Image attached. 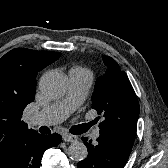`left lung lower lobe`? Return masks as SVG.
Segmentation results:
<instances>
[{
	"instance_id": "left-lung-lower-lobe-1",
	"label": "left lung lower lobe",
	"mask_w": 168,
	"mask_h": 168,
	"mask_svg": "<svg viewBox=\"0 0 168 168\" xmlns=\"http://www.w3.org/2000/svg\"><path fill=\"white\" fill-rule=\"evenodd\" d=\"M88 156L77 168H123L129 158L133 141L108 131H100L95 145L83 139Z\"/></svg>"
}]
</instances>
